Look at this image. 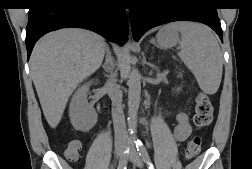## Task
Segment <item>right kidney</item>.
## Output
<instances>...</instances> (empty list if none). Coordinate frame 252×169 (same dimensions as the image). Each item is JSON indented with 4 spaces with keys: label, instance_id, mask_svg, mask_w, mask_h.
Masks as SVG:
<instances>
[{
    "label": "right kidney",
    "instance_id": "obj_1",
    "mask_svg": "<svg viewBox=\"0 0 252 169\" xmlns=\"http://www.w3.org/2000/svg\"><path fill=\"white\" fill-rule=\"evenodd\" d=\"M90 83H85L72 96L69 116L73 127L79 131H89L97 122L96 111L88 105L87 95Z\"/></svg>",
    "mask_w": 252,
    "mask_h": 169
}]
</instances>
